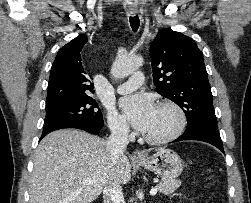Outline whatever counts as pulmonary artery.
<instances>
[{
    "mask_svg": "<svg viewBox=\"0 0 251 203\" xmlns=\"http://www.w3.org/2000/svg\"><path fill=\"white\" fill-rule=\"evenodd\" d=\"M144 82V75L141 72L133 73L130 78L116 87L118 93H128L137 89Z\"/></svg>",
    "mask_w": 251,
    "mask_h": 203,
    "instance_id": "obj_1",
    "label": "pulmonary artery"
}]
</instances>
